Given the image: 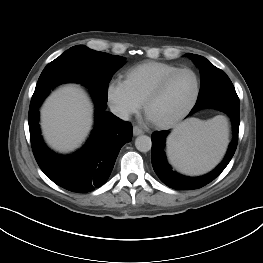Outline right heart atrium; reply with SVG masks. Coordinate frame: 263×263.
Here are the masks:
<instances>
[{
  "mask_svg": "<svg viewBox=\"0 0 263 263\" xmlns=\"http://www.w3.org/2000/svg\"><path fill=\"white\" fill-rule=\"evenodd\" d=\"M106 99L112 112L121 119H128L141 108V103L130 93L124 81L119 79L107 84Z\"/></svg>",
  "mask_w": 263,
  "mask_h": 263,
  "instance_id": "right-heart-atrium-1",
  "label": "right heart atrium"
}]
</instances>
